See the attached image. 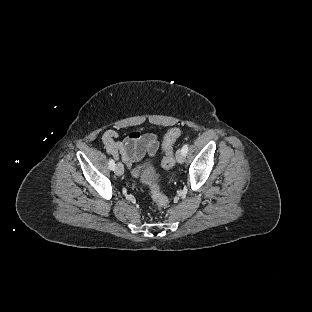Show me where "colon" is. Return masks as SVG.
<instances>
[{"mask_svg":"<svg viewBox=\"0 0 312 312\" xmlns=\"http://www.w3.org/2000/svg\"><path fill=\"white\" fill-rule=\"evenodd\" d=\"M180 135L181 131L178 128H171L164 135L162 142L164 155L161 159V167L164 170H170L175 166L174 145ZM151 196L158 207L165 206L168 201L165 194L158 187H152Z\"/></svg>","mask_w":312,"mask_h":312,"instance_id":"colon-1","label":"colon"}]
</instances>
